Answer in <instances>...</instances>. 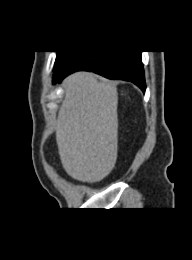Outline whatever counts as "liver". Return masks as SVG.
<instances>
[{"mask_svg": "<svg viewBox=\"0 0 192 260\" xmlns=\"http://www.w3.org/2000/svg\"><path fill=\"white\" fill-rule=\"evenodd\" d=\"M65 98L58 112L56 142L65 171L82 182H98L117 159L115 85L90 72H76L64 82Z\"/></svg>", "mask_w": 192, "mask_h": 260, "instance_id": "liver-1", "label": "liver"}]
</instances>
